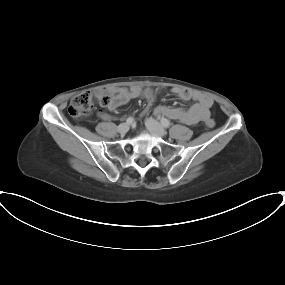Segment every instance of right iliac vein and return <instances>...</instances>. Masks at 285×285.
<instances>
[{"label":"right iliac vein","mask_w":285,"mask_h":285,"mask_svg":"<svg viewBox=\"0 0 285 285\" xmlns=\"http://www.w3.org/2000/svg\"><path fill=\"white\" fill-rule=\"evenodd\" d=\"M117 130H118V132H119L120 134H125V133H127L128 130H129V124H127V123H122V124H120V125L118 126Z\"/></svg>","instance_id":"1"}]
</instances>
